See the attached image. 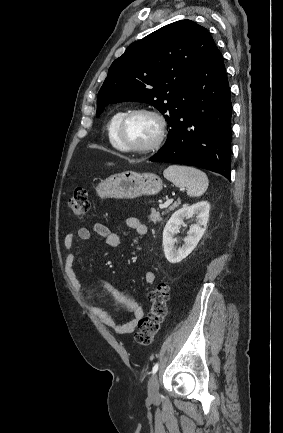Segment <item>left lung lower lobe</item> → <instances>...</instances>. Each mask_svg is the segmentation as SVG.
Listing matches in <instances>:
<instances>
[{
  "instance_id": "obj_1",
  "label": "left lung lower lobe",
  "mask_w": 283,
  "mask_h": 433,
  "mask_svg": "<svg viewBox=\"0 0 283 433\" xmlns=\"http://www.w3.org/2000/svg\"><path fill=\"white\" fill-rule=\"evenodd\" d=\"M190 105L149 160L195 166L231 178L232 104L223 57L214 46L193 79Z\"/></svg>"
}]
</instances>
